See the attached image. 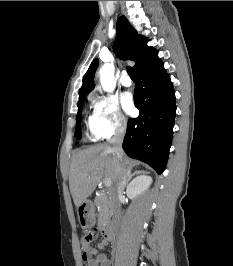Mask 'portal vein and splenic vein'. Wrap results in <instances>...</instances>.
<instances>
[{"label":"portal vein and splenic vein","mask_w":233,"mask_h":266,"mask_svg":"<svg viewBox=\"0 0 233 266\" xmlns=\"http://www.w3.org/2000/svg\"><path fill=\"white\" fill-rule=\"evenodd\" d=\"M111 184H112L111 179H108V178L104 179V185L105 186L109 187V186H111Z\"/></svg>","instance_id":"18ae733b"}]
</instances>
